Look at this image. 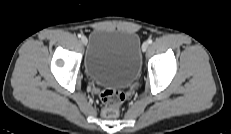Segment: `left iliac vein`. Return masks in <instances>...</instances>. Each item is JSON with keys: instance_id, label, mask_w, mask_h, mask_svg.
<instances>
[{"instance_id": "obj_1", "label": "left iliac vein", "mask_w": 231, "mask_h": 134, "mask_svg": "<svg viewBox=\"0 0 231 134\" xmlns=\"http://www.w3.org/2000/svg\"><path fill=\"white\" fill-rule=\"evenodd\" d=\"M149 47V43L148 42H144L142 45V51L145 52Z\"/></svg>"}]
</instances>
